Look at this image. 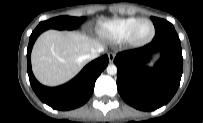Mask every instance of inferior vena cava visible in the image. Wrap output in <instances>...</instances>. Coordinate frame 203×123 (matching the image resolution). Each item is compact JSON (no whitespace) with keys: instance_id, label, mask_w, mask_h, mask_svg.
<instances>
[{"instance_id":"obj_1","label":"inferior vena cava","mask_w":203,"mask_h":123,"mask_svg":"<svg viewBox=\"0 0 203 123\" xmlns=\"http://www.w3.org/2000/svg\"><path fill=\"white\" fill-rule=\"evenodd\" d=\"M103 51H104L103 47H99L97 50H93L92 52L87 54L86 59L93 60V59L97 58L99 56V54Z\"/></svg>"}]
</instances>
